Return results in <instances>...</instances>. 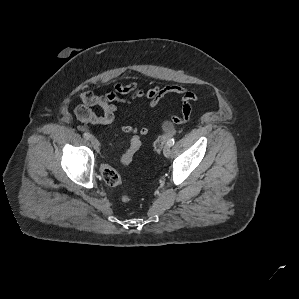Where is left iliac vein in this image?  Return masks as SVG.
<instances>
[{
  "instance_id": "obj_1",
  "label": "left iliac vein",
  "mask_w": 299,
  "mask_h": 299,
  "mask_svg": "<svg viewBox=\"0 0 299 299\" xmlns=\"http://www.w3.org/2000/svg\"><path fill=\"white\" fill-rule=\"evenodd\" d=\"M163 154L165 157H169L171 154V149L169 145H166L163 149Z\"/></svg>"
}]
</instances>
